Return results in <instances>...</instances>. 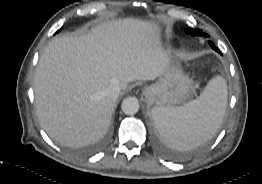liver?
Instances as JSON below:
<instances>
[{"mask_svg": "<svg viewBox=\"0 0 262 184\" xmlns=\"http://www.w3.org/2000/svg\"><path fill=\"white\" fill-rule=\"evenodd\" d=\"M170 66L156 23L133 18L96 25L78 36H59L45 47L35 73L38 119L54 141L80 147L108 130L116 106L106 90L155 80Z\"/></svg>", "mask_w": 262, "mask_h": 184, "instance_id": "liver-1", "label": "liver"}]
</instances>
